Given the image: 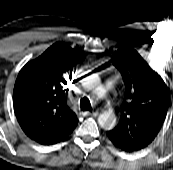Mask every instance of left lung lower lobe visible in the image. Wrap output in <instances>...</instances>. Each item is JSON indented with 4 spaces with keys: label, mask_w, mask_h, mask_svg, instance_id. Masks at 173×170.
I'll use <instances>...</instances> for the list:
<instances>
[{
    "label": "left lung lower lobe",
    "mask_w": 173,
    "mask_h": 170,
    "mask_svg": "<svg viewBox=\"0 0 173 170\" xmlns=\"http://www.w3.org/2000/svg\"><path fill=\"white\" fill-rule=\"evenodd\" d=\"M113 142V144L116 146V147H118V148H120V146L118 145V144H116L114 141H112ZM121 150H124V149H122V148H120ZM124 151H126V152H133V151H127V150H124Z\"/></svg>",
    "instance_id": "obj_1"
}]
</instances>
